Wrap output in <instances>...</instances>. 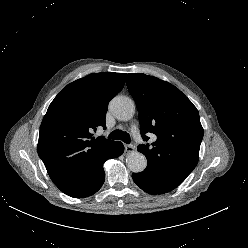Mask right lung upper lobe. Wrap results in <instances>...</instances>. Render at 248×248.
I'll return each instance as SVG.
<instances>
[{
	"label": "right lung upper lobe",
	"instance_id": "1",
	"mask_svg": "<svg viewBox=\"0 0 248 248\" xmlns=\"http://www.w3.org/2000/svg\"><path fill=\"white\" fill-rule=\"evenodd\" d=\"M125 73L101 72L78 79L54 98L40 126L38 154L54 184L71 190L93 176L115 141L92 137L106 128L109 101L122 90Z\"/></svg>",
	"mask_w": 248,
	"mask_h": 248
}]
</instances>
